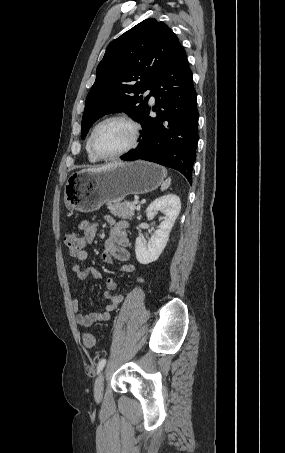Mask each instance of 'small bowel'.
Segmentation results:
<instances>
[{
    "mask_svg": "<svg viewBox=\"0 0 285 453\" xmlns=\"http://www.w3.org/2000/svg\"><path fill=\"white\" fill-rule=\"evenodd\" d=\"M107 222L110 225L109 237L106 239L104 244L103 260L107 264H113L115 260L121 261L123 264L120 269L125 273H134L136 266L129 262L130 254L127 250L128 236L127 229L129 224L125 220L114 221L107 218ZM99 225L92 223L89 220H82L78 224V229L83 232L84 239L88 244H92L96 238ZM78 261L83 262L87 259V252L82 251L77 257ZM72 273L78 280H83L89 276L99 279L101 277L100 272L93 266H83L81 263H75L72 265ZM136 283L140 284L143 282V278L138 276L135 280ZM117 288V284L113 278L106 280V291L104 297L107 299L106 304L102 312H93L83 314L79 312V302L77 298L72 301V310L75 314V322L78 326L90 327L93 324L108 320L111 316L112 311L122 302L124 296L122 294L114 293Z\"/></svg>",
    "mask_w": 285,
    "mask_h": 453,
    "instance_id": "1",
    "label": "small bowel"
}]
</instances>
